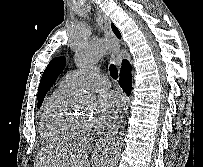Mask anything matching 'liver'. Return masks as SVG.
<instances>
[{
    "instance_id": "6515ba94",
    "label": "liver",
    "mask_w": 203,
    "mask_h": 167,
    "mask_svg": "<svg viewBox=\"0 0 203 167\" xmlns=\"http://www.w3.org/2000/svg\"><path fill=\"white\" fill-rule=\"evenodd\" d=\"M89 148L83 144H66L40 150L35 167H89Z\"/></svg>"
}]
</instances>
